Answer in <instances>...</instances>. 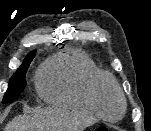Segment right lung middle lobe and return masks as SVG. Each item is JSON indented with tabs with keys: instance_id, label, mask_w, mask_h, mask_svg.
Wrapping results in <instances>:
<instances>
[{
	"instance_id": "obj_1",
	"label": "right lung middle lobe",
	"mask_w": 151,
	"mask_h": 131,
	"mask_svg": "<svg viewBox=\"0 0 151 131\" xmlns=\"http://www.w3.org/2000/svg\"><path fill=\"white\" fill-rule=\"evenodd\" d=\"M35 56V52H30L26 59L24 60L23 64L17 69L16 73L11 77L9 81V87L3 97V104L12 102L15 100L21 92L24 90L26 86V71Z\"/></svg>"
}]
</instances>
